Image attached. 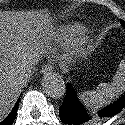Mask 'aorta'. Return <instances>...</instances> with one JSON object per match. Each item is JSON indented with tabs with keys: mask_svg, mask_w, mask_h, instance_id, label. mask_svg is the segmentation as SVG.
<instances>
[{
	"mask_svg": "<svg viewBox=\"0 0 125 125\" xmlns=\"http://www.w3.org/2000/svg\"><path fill=\"white\" fill-rule=\"evenodd\" d=\"M44 92L51 98H61L66 93V85L60 75L48 74L42 79Z\"/></svg>",
	"mask_w": 125,
	"mask_h": 125,
	"instance_id": "762f6f07",
	"label": "aorta"
}]
</instances>
